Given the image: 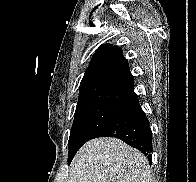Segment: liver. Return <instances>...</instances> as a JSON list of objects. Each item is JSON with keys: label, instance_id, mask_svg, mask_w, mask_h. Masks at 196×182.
Listing matches in <instances>:
<instances>
[{"label": "liver", "instance_id": "1", "mask_svg": "<svg viewBox=\"0 0 196 182\" xmlns=\"http://www.w3.org/2000/svg\"><path fill=\"white\" fill-rule=\"evenodd\" d=\"M67 182H152L147 158L116 138L88 141L75 155Z\"/></svg>", "mask_w": 196, "mask_h": 182}]
</instances>
